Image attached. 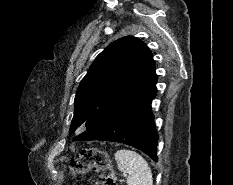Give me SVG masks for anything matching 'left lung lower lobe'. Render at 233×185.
Masks as SVG:
<instances>
[{
  "label": "left lung lower lobe",
  "mask_w": 233,
  "mask_h": 185,
  "mask_svg": "<svg viewBox=\"0 0 233 185\" xmlns=\"http://www.w3.org/2000/svg\"><path fill=\"white\" fill-rule=\"evenodd\" d=\"M155 68L126 90L106 115L91 129L74 140H103L135 147L154 161L157 157L158 134L151 103L156 95Z\"/></svg>",
  "instance_id": "0a47b994"
}]
</instances>
